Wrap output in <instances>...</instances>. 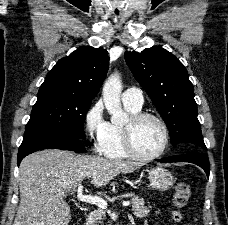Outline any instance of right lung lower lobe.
Returning <instances> with one entry per match:
<instances>
[{
    "mask_svg": "<svg viewBox=\"0 0 228 225\" xmlns=\"http://www.w3.org/2000/svg\"><path fill=\"white\" fill-rule=\"evenodd\" d=\"M43 149H62L76 152L85 151L81 139L64 131L36 130L26 132L18 151V166L25 156Z\"/></svg>",
    "mask_w": 228,
    "mask_h": 225,
    "instance_id": "right-lung-lower-lobe-1",
    "label": "right lung lower lobe"
}]
</instances>
